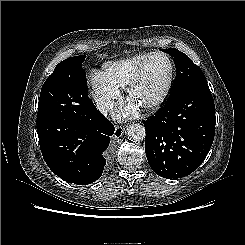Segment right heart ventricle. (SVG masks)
Here are the masks:
<instances>
[{"label":"right heart ventricle","instance_id":"obj_1","mask_svg":"<svg viewBox=\"0 0 245 245\" xmlns=\"http://www.w3.org/2000/svg\"><path fill=\"white\" fill-rule=\"evenodd\" d=\"M150 53L133 55L104 68V76L116 88L125 89Z\"/></svg>","mask_w":245,"mask_h":245}]
</instances>
